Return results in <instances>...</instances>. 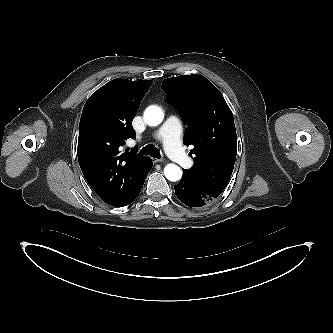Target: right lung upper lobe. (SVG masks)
<instances>
[{"label": "right lung upper lobe", "mask_w": 333, "mask_h": 333, "mask_svg": "<svg viewBox=\"0 0 333 333\" xmlns=\"http://www.w3.org/2000/svg\"><path fill=\"white\" fill-rule=\"evenodd\" d=\"M152 81L114 79L87 100L80 119L78 159L83 175L107 204L122 207L132 196L150 159L121 153L120 146L135 138L131 126Z\"/></svg>", "instance_id": "cb5924a9"}]
</instances>
